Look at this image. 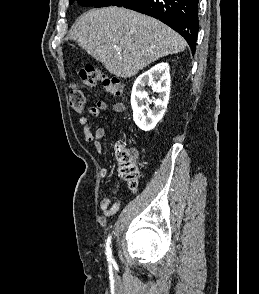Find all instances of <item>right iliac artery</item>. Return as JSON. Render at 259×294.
Returning <instances> with one entry per match:
<instances>
[{
  "label": "right iliac artery",
  "mask_w": 259,
  "mask_h": 294,
  "mask_svg": "<svg viewBox=\"0 0 259 294\" xmlns=\"http://www.w3.org/2000/svg\"><path fill=\"white\" fill-rule=\"evenodd\" d=\"M111 236L108 237L107 239V243H106V255H107V260L111 263L114 262L113 258H112V251H111Z\"/></svg>",
  "instance_id": "82829eb1"
}]
</instances>
